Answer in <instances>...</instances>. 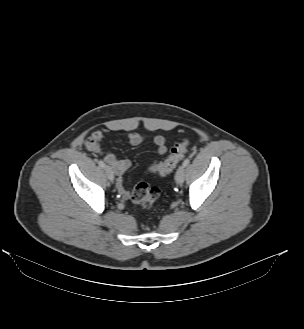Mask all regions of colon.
<instances>
[{
    "label": "colon",
    "instance_id": "1",
    "mask_svg": "<svg viewBox=\"0 0 304 329\" xmlns=\"http://www.w3.org/2000/svg\"><path fill=\"white\" fill-rule=\"evenodd\" d=\"M190 144L188 139L176 143L169 157L162 163H152L146 168L147 173L167 175L171 173L178 163L183 159ZM160 196V190L157 187H151L145 182L136 184L131 193L132 201L144 209H149L157 202Z\"/></svg>",
    "mask_w": 304,
    "mask_h": 329
}]
</instances>
